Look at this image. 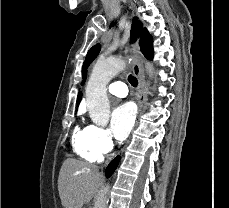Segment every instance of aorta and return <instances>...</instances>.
I'll return each instance as SVG.
<instances>
[{"instance_id": "aorta-1", "label": "aorta", "mask_w": 229, "mask_h": 208, "mask_svg": "<svg viewBox=\"0 0 229 208\" xmlns=\"http://www.w3.org/2000/svg\"><path fill=\"white\" fill-rule=\"evenodd\" d=\"M125 68V62L121 59H106L98 61L90 75L86 86V105L92 121L105 126L109 121L110 104L107 96V84L109 81ZM149 73L153 72L151 64L146 63ZM110 186L106 185L98 192L93 208H106Z\"/></svg>"}]
</instances>
